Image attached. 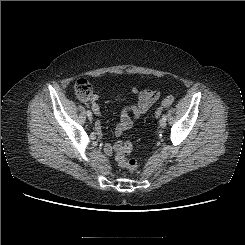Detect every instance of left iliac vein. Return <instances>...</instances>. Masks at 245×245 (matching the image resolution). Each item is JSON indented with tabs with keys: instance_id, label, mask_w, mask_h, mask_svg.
Wrapping results in <instances>:
<instances>
[{
	"instance_id": "left-iliac-vein-1",
	"label": "left iliac vein",
	"mask_w": 245,
	"mask_h": 245,
	"mask_svg": "<svg viewBox=\"0 0 245 245\" xmlns=\"http://www.w3.org/2000/svg\"><path fill=\"white\" fill-rule=\"evenodd\" d=\"M159 125L164 128L166 126V120L164 119H161L160 122H159Z\"/></svg>"
}]
</instances>
